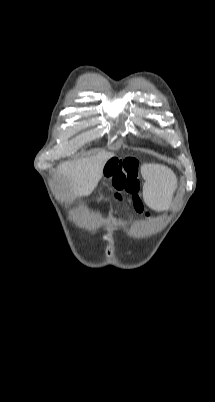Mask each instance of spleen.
Instances as JSON below:
<instances>
[{"label": "spleen", "instance_id": "1", "mask_svg": "<svg viewBox=\"0 0 215 402\" xmlns=\"http://www.w3.org/2000/svg\"><path fill=\"white\" fill-rule=\"evenodd\" d=\"M141 172L146 180L144 195L147 208L149 210L171 208V203L164 201V197L170 196V185L175 183V179H172L169 172L160 166L144 165Z\"/></svg>", "mask_w": 215, "mask_h": 402}]
</instances>
